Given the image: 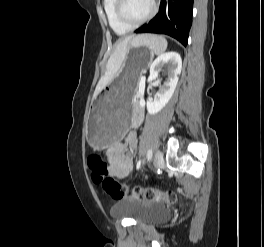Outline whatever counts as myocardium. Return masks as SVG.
<instances>
[{"label":"myocardium","mask_w":264,"mask_h":247,"mask_svg":"<svg viewBox=\"0 0 264 247\" xmlns=\"http://www.w3.org/2000/svg\"><path fill=\"white\" fill-rule=\"evenodd\" d=\"M127 0H116V15L117 18L129 28H135L150 20L156 12L157 6L155 0H151V7L149 12L141 19L132 20L126 12Z\"/></svg>","instance_id":"f54148a6"}]
</instances>
